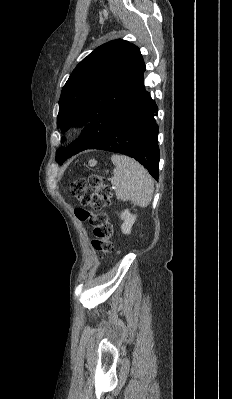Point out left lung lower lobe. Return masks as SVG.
<instances>
[{
  "label": "left lung lower lobe",
  "mask_w": 232,
  "mask_h": 399,
  "mask_svg": "<svg viewBox=\"0 0 232 399\" xmlns=\"http://www.w3.org/2000/svg\"><path fill=\"white\" fill-rule=\"evenodd\" d=\"M158 107L144 87L124 110L109 132L90 149L107 150L130 156L141 163L155 178H159L160 151L155 113Z\"/></svg>",
  "instance_id": "1"
}]
</instances>
